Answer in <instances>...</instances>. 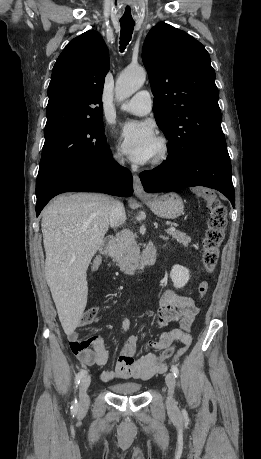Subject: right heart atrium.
Instances as JSON below:
<instances>
[{
	"mask_svg": "<svg viewBox=\"0 0 261 459\" xmlns=\"http://www.w3.org/2000/svg\"><path fill=\"white\" fill-rule=\"evenodd\" d=\"M114 159L117 162V164H119L121 166L124 164V158H123L121 152L118 149L114 153Z\"/></svg>",
	"mask_w": 261,
	"mask_h": 459,
	"instance_id": "obj_1",
	"label": "right heart atrium"
}]
</instances>
